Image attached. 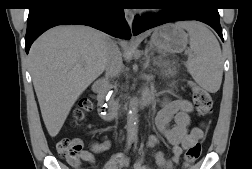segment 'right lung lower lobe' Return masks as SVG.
<instances>
[{
  "instance_id": "obj_1",
  "label": "right lung lower lobe",
  "mask_w": 252,
  "mask_h": 169,
  "mask_svg": "<svg viewBox=\"0 0 252 169\" xmlns=\"http://www.w3.org/2000/svg\"><path fill=\"white\" fill-rule=\"evenodd\" d=\"M64 24L91 26L123 39L131 37L118 0H35L27 19L26 53L43 32Z\"/></svg>"
}]
</instances>
